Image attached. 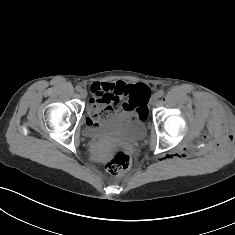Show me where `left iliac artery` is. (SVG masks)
<instances>
[{
    "instance_id": "1",
    "label": "left iliac artery",
    "mask_w": 235,
    "mask_h": 235,
    "mask_svg": "<svg viewBox=\"0 0 235 235\" xmlns=\"http://www.w3.org/2000/svg\"><path fill=\"white\" fill-rule=\"evenodd\" d=\"M156 94L160 98V97H162L164 95V91L163 90H159Z\"/></svg>"
}]
</instances>
